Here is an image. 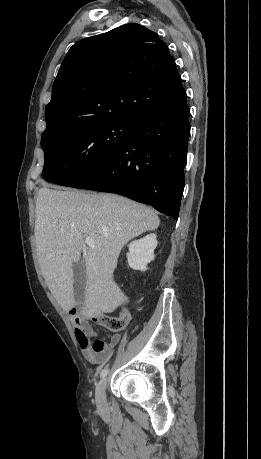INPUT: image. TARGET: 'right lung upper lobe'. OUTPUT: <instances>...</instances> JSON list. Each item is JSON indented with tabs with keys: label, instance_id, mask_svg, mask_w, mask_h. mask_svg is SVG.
I'll use <instances>...</instances> for the list:
<instances>
[{
	"label": "right lung upper lobe",
	"instance_id": "cb5924a9",
	"mask_svg": "<svg viewBox=\"0 0 261 459\" xmlns=\"http://www.w3.org/2000/svg\"><path fill=\"white\" fill-rule=\"evenodd\" d=\"M185 93L174 58L153 31L122 25L75 43L55 79L43 132L138 123Z\"/></svg>",
	"mask_w": 261,
	"mask_h": 459
}]
</instances>
